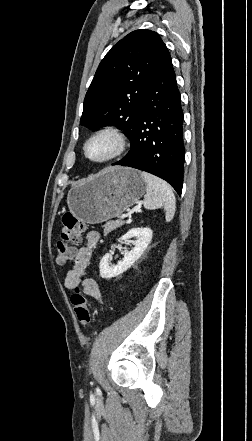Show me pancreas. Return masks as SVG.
Listing matches in <instances>:
<instances>
[{"label": "pancreas", "instance_id": "1", "mask_svg": "<svg viewBox=\"0 0 252 441\" xmlns=\"http://www.w3.org/2000/svg\"><path fill=\"white\" fill-rule=\"evenodd\" d=\"M124 223L125 222L123 220H116V221L107 222L103 226L104 227V234L107 235L108 233L112 232L113 230L123 226Z\"/></svg>", "mask_w": 252, "mask_h": 441}]
</instances>
